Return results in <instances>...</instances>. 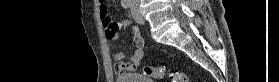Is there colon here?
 I'll return each instance as SVG.
<instances>
[{"mask_svg": "<svg viewBox=\"0 0 279 82\" xmlns=\"http://www.w3.org/2000/svg\"><path fill=\"white\" fill-rule=\"evenodd\" d=\"M100 15H101V19H102L104 26L112 24L113 21L110 19L106 8L103 6L100 8ZM142 72L144 75L157 80V79H161L163 77V75L166 73V68L154 67V66H144L142 68ZM169 77L172 82H188V77L183 72H178V71L170 72Z\"/></svg>", "mask_w": 279, "mask_h": 82, "instance_id": "obj_1", "label": "colon"}]
</instances>
